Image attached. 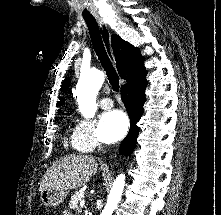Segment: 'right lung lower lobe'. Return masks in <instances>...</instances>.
<instances>
[{"label":"right lung lower lobe","instance_id":"1","mask_svg":"<svg viewBox=\"0 0 221 215\" xmlns=\"http://www.w3.org/2000/svg\"><path fill=\"white\" fill-rule=\"evenodd\" d=\"M147 81L145 77L134 84L121 89V98L130 117V130L120 145L119 153L128 156L135 148L138 136L136 123L142 116L145 102V89Z\"/></svg>","mask_w":221,"mask_h":215}]
</instances>
